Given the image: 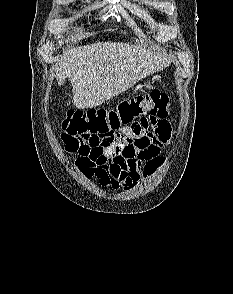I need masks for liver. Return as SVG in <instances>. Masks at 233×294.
Masks as SVG:
<instances>
[{
  "label": "liver",
  "mask_w": 233,
  "mask_h": 294,
  "mask_svg": "<svg viewBox=\"0 0 233 294\" xmlns=\"http://www.w3.org/2000/svg\"><path fill=\"white\" fill-rule=\"evenodd\" d=\"M168 65L166 58L140 46L98 42L65 51L56 67V80L61 86L68 78L74 105L86 109L103 104Z\"/></svg>",
  "instance_id": "1"
}]
</instances>
